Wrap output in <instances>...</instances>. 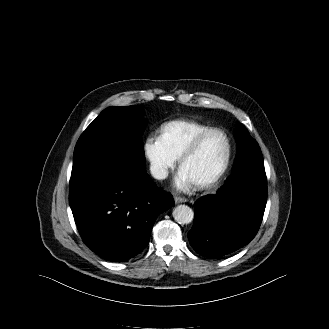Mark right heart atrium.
<instances>
[{
	"instance_id": "d8ad5b80",
	"label": "right heart atrium",
	"mask_w": 329,
	"mask_h": 329,
	"mask_svg": "<svg viewBox=\"0 0 329 329\" xmlns=\"http://www.w3.org/2000/svg\"><path fill=\"white\" fill-rule=\"evenodd\" d=\"M144 153L150 164L151 172L157 179L166 178L169 171L176 165V158L167 150L159 137H148L145 140Z\"/></svg>"
}]
</instances>
